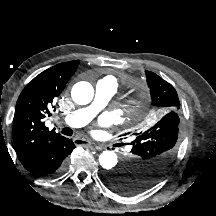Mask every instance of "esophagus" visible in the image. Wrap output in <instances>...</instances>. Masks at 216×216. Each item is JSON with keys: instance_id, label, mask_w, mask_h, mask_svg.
<instances>
[{"instance_id": "1", "label": "esophagus", "mask_w": 216, "mask_h": 216, "mask_svg": "<svg viewBox=\"0 0 216 216\" xmlns=\"http://www.w3.org/2000/svg\"><path fill=\"white\" fill-rule=\"evenodd\" d=\"M73 141L76 145H79V146H95L98 151L103 149V146L97 145V144H95L91 141H88V140L74 138Z\"/></svg>"}]
</instances>
